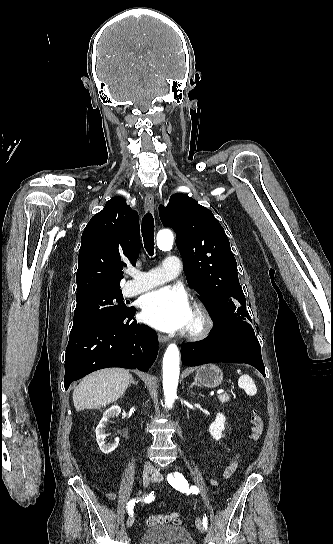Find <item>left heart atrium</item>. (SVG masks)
<instances>
[{"label": "left heart atrium", "mask_w": 333, "mask_h": 544, "mask_svg": "<svg viewBox=\"0 0 333 544\" xmlns=\"http://www.w3.org/2000/svg\"><path fill=\"white\" fill-rule=\"evenodd\" d=\"M141 316L150 326L171 332L189 326L192 309L187 294L179 288H160L141 301Z\"/></svg>", "instance_id": "1"}]
</instances>
